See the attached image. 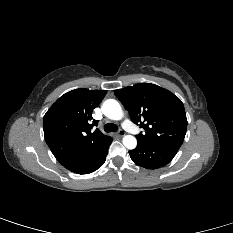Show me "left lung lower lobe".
Masks as SVG:
<instances>
[{
    "mask_svg": "<svg viewBox=\"0 0 233 233\" xmlns=\"http://www.w3.org/2000/svg\"><path fill=\"white\" fill-rule=\"evenodd\" d=\"M179 148L180 146L173 144H148L138 141L136 149L129 151V154L135 164L147 169H157L168 164Z\"/></svg>",
    "mask_w": 233,
    "mask_h": 233,
    "instance_id": "left-lung-lower-lobe-1",
    "label": "left lung lower lobe"
}]
</instances>
